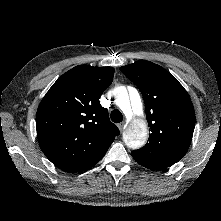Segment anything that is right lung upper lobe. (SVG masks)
I'll list each match as a JSON object with an SVG mask.
<instances>
[{
    "instance_id": "cb5924a9",
    "label": "right lung upper lobe",
    "mask_w": 221,
    "mask_h": 221,
    "mask_svg": "<svg viewBox=\"0 0 221 221\" xmlns=\"http://www.w3.org/2000/svg\"><path fill=\"white\" fill-rule=\"evenodd\" d=\"M114 68L79 65L63 74L42 99L37 137L46 157L65 172L97 164L119 135L99 98L112 83Z\"/></svg>"
}]
</instances>
